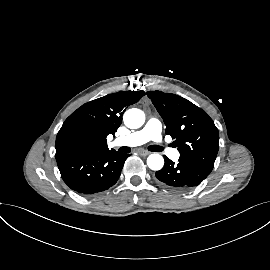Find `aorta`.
Returning <instances> with one entry per match:
<instances>
[{"label": "aorta", "mask_w": 270, "mask_h": 270, "mask_svg": "<svg viewBox=\"0 0 270 270\" xmlns=\"http://www.w3.org/2000/svg\"><path fill=\"white\" fill-rule=\"evenodd\" d=\"M124 124L131 129L140 128L145 122V114L137 108L128 109L123 116ZM147 165L152 170H160L164 165V159L159 154H151L147 158Z\"/></svg>", "instance_id": "aorta-1"}]
</instances>
